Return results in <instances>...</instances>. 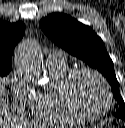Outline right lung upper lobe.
<instances>
[{
    "mask_svg": "<svg viewBox=\"0 0 125 128\" xmlns=\"http://www.w3.org/2000/svg\"><path fill=\"white\" fill-rule=\"evenodd\" d=\"M24 33L25 25L22 22L0 23V63L11 64V54Z\"/></svg>",
    "mask_w": 125,
    "mask_h": 128,
    "instance_id": "right-lung-upper-lobe-1",
    "label": "right lung upper lobe"
}]
</instances>
